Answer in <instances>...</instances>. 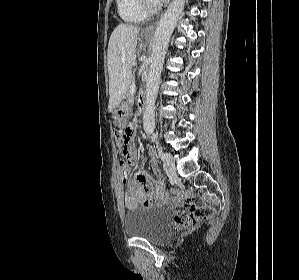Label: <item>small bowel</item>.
Returning <instances> with one entry per match:
<instances>
[{
  "mask_svg": "<svg viewBox=\"0 0 299 280\" xmlns=\"http://www.w3.org/2000/svg\"><path fill=\"white\" fill-rule=\"evenodd\" d=\"M134 127L135 125L131 127L132 131ZM132 151L133 158L136 161V152L133 146ZM150 153L153 154L154 151L150 150ZM150 166L155 177L149 175L145 170H139L132 179L127 181V193L124 196V205L127 209H134L139 205L149 208L165 204L176 205L181 202L179 195L169 196L157 162L151 160Z\"/></svg>",
  "mask_w": 299,
  "mask_h": 280,
  "instance_id": "c3829d8e",
  "label": "small bowel"
}]
</instances>
